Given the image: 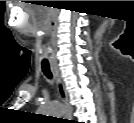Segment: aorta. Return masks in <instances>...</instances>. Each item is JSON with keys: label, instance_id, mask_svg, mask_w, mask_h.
<instances>
[{"label": "aorta", "instance_id": "aorta-1", "mask_svg": "<svg viewBox=\"0 0 134 123\" xmlns=\"http://www.w3.org/2000/svg\"><path fill=\"white\" fill-rule=\"evenodd\" d=\"M40 112L47 116L60 118L67 112V109L59 103L49 102L40 106Z\"/></svg>", "mask_w": 134, "mask_h": 123}]
</instances>
